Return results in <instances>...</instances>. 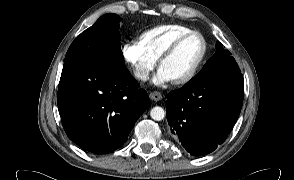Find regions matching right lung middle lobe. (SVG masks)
I'll return each mask as SVG.
<instances>
[{
    "mask_svg": "<svg viewBox=\"0 0 294 180\" xmlns=\"http://www.w3.org/2000/svg\"><path fill=\"white\" fill-rule=\"evenodd\" d=\"M119 20L115 14H105L78 35L66 53L62 73L88 64L123 68Z\"/></svg>",
    "mask_w": 294,
    "mask_h": 180,
    "instance_id": "obj_1",
    "label": "right lung middle lobe"
}]
</instances>
